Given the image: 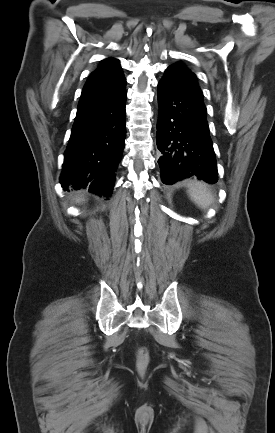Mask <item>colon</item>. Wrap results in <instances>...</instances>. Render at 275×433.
I'll return each instance as SVG.
<instances>
[{
  "mask_svg": "<svg viewBox=\"0 0 275 433\" xmlns=\"http://www.w3.org/2000/svg\"><path fill=\"white\" fill-rule=\"evenodd\" d=\"M149 364L148 350L145 347H140L137 353V370L143 374L146 372Z\"/></svg>",
  "mask_w": 275,
  "mask_h": 433,
  "instance_id": "colon-1",
  "label": "colon"
}]
</instances>
